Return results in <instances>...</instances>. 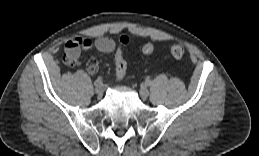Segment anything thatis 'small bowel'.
I'll return each instance as SVG.
<instances>
[{
	"instance_id": "1",
	"label": "small bowel",
	"mask_w": 259,
	"mask_h": 156,
	"mask_svg": "<svg viewBox=\"0 0 259 156\" xmlns=\"http://www.w3.org/2000/svg\"><path fill=\"white\" fill-rule=\"evenodd\" d=\"M96 48L103 53H111L115 50V42L110 37L102 36L95 40H91L87 37H75L67 41L66 52L78 59L81 50H90ZM87 70L91 74H95L98 71V63L91 60L87 63Z\"/></svg>"
}]
</instances>
